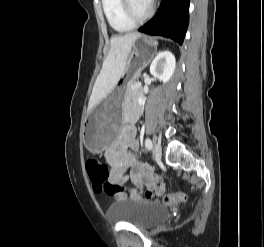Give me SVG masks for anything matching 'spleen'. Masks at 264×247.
Segmentation results:
<instances>
[{
	"mask_svg": "<svg viewBox=\"0 0 264 247\" xmlns=\"http://www.w3.org/2000/svg\"><path fill=\"white\" fill-rule=\"evenodd\" d=\"M158 43L156 41L153 42V45L156 46Z\"/></svg>",
	"mask_w": 264,
	"mask_h": 247,
	"instance_id": "obj_1",
	"label": "spleen"
}]
</instances>
